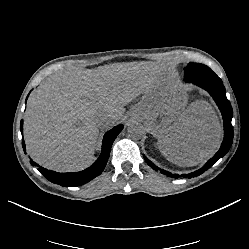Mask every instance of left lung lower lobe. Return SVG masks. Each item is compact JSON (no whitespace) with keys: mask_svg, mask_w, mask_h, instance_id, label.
Here are the masks:
<instances>
[{"mask_svg":"<svg viewBox=\"0 0 249 249\" xmlns=\"http://www.w3.org/2000/svg\"><path fill=\"white\" fill-rule=\"evenodd\" d=\"M192 83L206 90L213 97L214 101L219 107L224 121V140L221 144L219 151L210 160H208L203 167L190 174L181 175L182 177H188V178L199 176L200 174L208 170L212 165H214L220 158H222L228 152L233 139V127L231 124L233 110L229 100L226 97V90L224 85L222 84V80L220 78L205 79V80H198ZM144 159L150 167H152L155 170H160L162 174L174 178L180 177L177 174H172L168 171L158 168L146 156H144Z\"/></svg>","mask_w":249,"mask_h":249,"instance_id":"left-lung-lower-lobe-1","label":"left lung lower lobe"}]
</instances>
